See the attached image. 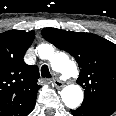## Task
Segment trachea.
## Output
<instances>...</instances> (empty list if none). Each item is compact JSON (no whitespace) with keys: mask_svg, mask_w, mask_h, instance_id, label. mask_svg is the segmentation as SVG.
Here are the masks:
<instances>
[{"mask_svg":"<svg viewBox=\"0 0 116 116\" xmlns=\"http://www.w3.org/2000/svg\"><path fill=\"white\" fill-rule=\"evenodd\" d=\"M41 76L44 78H51V74L47 65L41 67Z\"/></svg>","mask_w":116,"mask_h":116,"instance_id":"obj_1","label":"trachea"}]
</instances>
